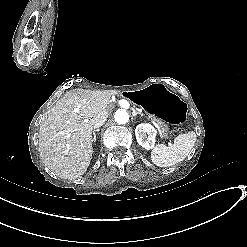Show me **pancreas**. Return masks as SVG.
Returning <instances> with one entry per match:
<instances>
[{
	"mask_svg": "<svg viewBox=\"0 0 247 247\" xmlns=\"http://www.w3.org/2000/svg\"><path fill=\"white\" fill-rule=\"evenodd\" d=\"M162 126H161V129H162V131H164V132H166L169 128H168V126L166 125V124H164L163 122H162Z\"/></svg>",
	"mask_w": 247,
	"mask_h": 247,
	"instance_id": "cf45deb5",
	"label": "pancreas"
}]
</instances>
